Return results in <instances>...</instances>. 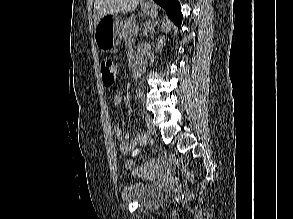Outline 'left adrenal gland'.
Listing matches in <instances>:
<instances>
[{
  "mask_svg": "<svg viewBox=\"0 0 293 219\" xmlns=\"http://www.w3.org/2000/svg\"><path fill=\"white\" fill-rule=\"evenodd\" d=\"M157 25V21L153 22V24H151V26L149 27V31H154V27Z\"/></svg>",
  "mask_w": 293,
  "mask_h": 219,
  "instance_id": "a2214340",
  "label": "left adrenal gland"
}]
</instances>
